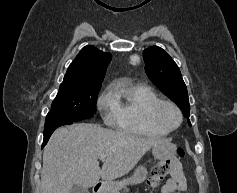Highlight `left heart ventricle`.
<instances>
[{
    "mask_svg": "<svg viewBox=\"0 0 237 193\" xmlns=\"http://www.w3.org/2000/svg\"><path fill=\"white\" fill-rule=\"evenodd\" d=\"M162 120L169 126H174L178 122L177 114L170 107H165L161 113Z\"/></svg>",
    "mask_w": 237,
    "mask_h": 193,
    "instance_id": "1",
    "label": "left heart ventricle"
}]
</instances>
